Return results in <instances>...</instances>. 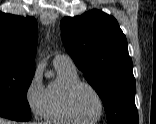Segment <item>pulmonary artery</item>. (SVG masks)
Returning <instances> with one entry per match:
<instances>
[{"label": "pulmonary artery", "mask_w": 156, "mask_h": 124, "mask_svg": "<svg viewBox=\"0 0 156 124\" xmlns=\"http://www.w3.org/2000/svg\"><path fill=\"white\" fill-rule=\"evenodd\" d=\"M53 63L54 65L62 64V65H67L72 67L75 66L73 60L68 55L65 54H56L54 56Z\"/></svg>", "instance_id": "1"}]
</instances>
